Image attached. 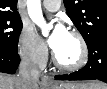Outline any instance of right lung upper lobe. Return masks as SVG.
I'll return each instance as SVG.
<instances>
[{
  "instance_id": "cb5924a9",
  "label": "right lung upper lobe",
  "mask_w": 107,
  "mask_h": 89,
  "mask_svg": "<svg viewBox=\"0 0 107 89\" xmlns=\"http://www.w3.org/2000/svg\"><path fill=\"white\" fill-rule=\"evenodd\" d=\"M17 0H0V16H14L18 14L16 7Z\"/></svg>"
}]
</instances>
